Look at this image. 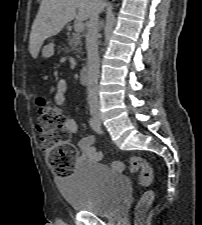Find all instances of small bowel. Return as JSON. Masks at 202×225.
Returning <instances> with one entry per match:
<instances>
[{"instance_id":"obj_1","label":"small bowel","mask_w":202,"mask_h":225,"mask_svg":"<svg viewBox=\"0 0 202 225\" xmlns=\"http://www.w3.org/2000/svg\"><path fill=\"white\" fill-rule=\"evenodd\" d=\"M67 87V81L64 78H59L56 84V94L54 96L55 105L61 106L63 104ZM64 127L69 133L78 131L77 121L71 117H66L64 119ZM79 146L81 149V157L97 162L102 159V153L95 148V138L93 136L83 137L80 140Z\"/></svg>"}]
</instances>
